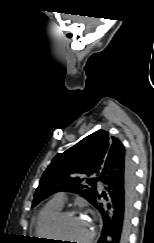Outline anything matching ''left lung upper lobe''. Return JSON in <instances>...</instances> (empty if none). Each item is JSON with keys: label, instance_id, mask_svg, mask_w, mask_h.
I'll return each instance as SVG.
<instances>
[{"label": "left lung upper lobe", "instance_id": "left-lung-upper-lobe-1", "mask_svg": "<svg viewBox=\"0 0 154 243\" xmlns=\"http://www.w3.org/2000/svg\"><path fill=\"white\" fill-rule=\"evenodd\" d=\"M119 147L124 148L117 138L99 130L55 156L41 178L32 206L58 191L76 192L92 204L100 192L98 178L83 183L82 175H99L108 155L117 153Z\"/></svg>", "mask_w": 154, "mask_h": 243}]
</instances>
